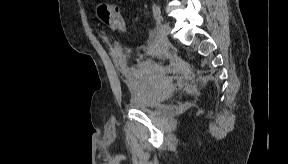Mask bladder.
Returning <instances> with one entry per match:
<instances>
[{
    "mask_svg": "<svg viewBox=\"0 0 288 164\" xmlns=\"http://www.w3.org/2000/svg\"><path fill=\"white\" fill-rule=\"evenodd\" d=\"M121 55H125V51L121 47H117ZM158 104V95L155 91L149 90L144 94L136 97L131 103V107L137 111L148 113L153 111Z\"/></svg>",
    "mask_w": 288,
    "mask_h": 164,
    "instance_id": "31cf9c89",
    "label": "bladder"
}]
</instances>
